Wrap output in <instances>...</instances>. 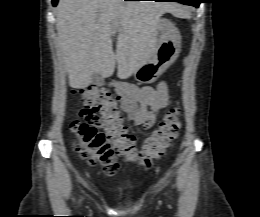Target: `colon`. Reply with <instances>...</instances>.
<instances>
[{
    "mask_svg": "<svg viewBox=\"0 0 260 217\" xmlns=\"http://www.w3.org/2000/svg\"><path fill=\"white\" fill-rule=\"evenodd\" d=\"M82 108L80 117L70 123L76 136L75 150L89 164H100L107 175L118 169L117 157L144 167H151L161 157L164 149L176 138L181 127L178 108L170 110L141 149L134 146L112 94L103 89L87 88L80 92ZM101 115V122L96 118Z\"/></svg>",
    "mask_w": 260,
    "mask_h": 217,
    "instance_id": "obj_1",
    "label": "colon"
}]
</instances>
